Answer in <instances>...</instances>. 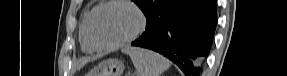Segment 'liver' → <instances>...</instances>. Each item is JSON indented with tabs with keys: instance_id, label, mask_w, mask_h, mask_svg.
Returning <instances> with one entry per match:
<instances>
[{
	"instance_id": "liver-1",
	"label": "liver",
	"mask_w": 287,
	"mask_h": 76,
	"mask_svg": "<svg viewBox=\"0 0 287 76\" xmlns=\"http://www.w3.org/2000/svg\"><path fill=\"white\" fill-rule=\"evenodd\" d=\"M90 59H84L81 63H80V66L79 68L83 67L87 62H89Z\"/></svg>"
}]
</instances>
